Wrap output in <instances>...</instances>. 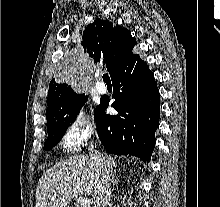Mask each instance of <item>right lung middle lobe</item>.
<instances>
[{"label":"right lung middle lobe","instance_id":"dd1d6c3e","mask_svg":"<svg viewBox=\"0 0 220 207\" xmlns=\"http://www.w3.org/2000/svg\"><path fill=\"white\" fill-rule=\"evenodd\" d=\"M87 99L88 97L85 94H75L67 99L55 112L46 117L48 137L44 149H52L61 140L69 124L76 119L79 110Z\"/></svg>","mask_w":220,"mask_h":207}]
</instances>
